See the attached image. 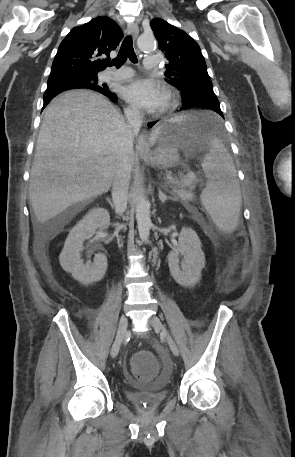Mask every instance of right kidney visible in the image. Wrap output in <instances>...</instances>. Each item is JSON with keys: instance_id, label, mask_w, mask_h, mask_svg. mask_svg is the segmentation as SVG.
<instances>
[{"instance_id": "ca27d5eb", "label": "right kidney", "mask_w": 295, "mask_h": 457, "mask_svg": "<svg viewBox=\"0 0 295 457\" xmlns=\"http://www.w3.org/2000/svg\"><path fill=\"white\" fill-rule=\"evenodd\" d=\"M110 225V216L104 208L89 211L70 231L64 248L59 256L62 268L84 285L103 279L107 270V257L96 254L93 263H83L81 251L83 242L91 238L98 228L106 229Z\"/></svg>"}]
</instances>
